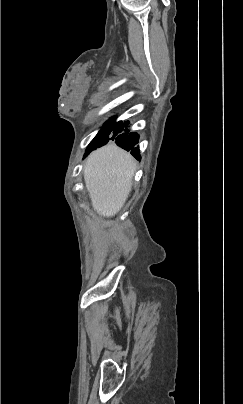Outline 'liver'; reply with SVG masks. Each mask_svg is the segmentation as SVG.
<instances>
[{
    "label": "liver",
    "mask_w": 243,
    "mask_h": 404,
    "mask_svg": "<svg viewBox=\"0 0 243 404\" xmlns=\"http://www.w3.org/2000/svg\"><path fill=\"white\" fill-rule=\"evenodd\" d=\"M136 164L129 152L107 144L88 156L83 168L85 188L100 216H115L130 192Z\"/></svg>",
    "instance_id": "obj_1"
}]
</instances>
